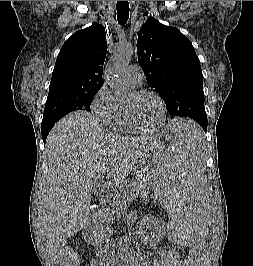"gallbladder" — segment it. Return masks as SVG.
Returning <instances> with one entry per match:
<instances>
[{"label": "gallbladder", "mask_w": 253, "mask_h": 266, "mask_svg": "<svg viewBox=\"0 0 253 266\" xmlns=\"http://www.w3.org/2000/svg\"><path fill=\"white\" fill-rule=\"evenodd\" d=\"M98 184L96 183V184H94V187H93V192H96V190L98 189ZM91 225L90 224H88L85 228H84V230L86 231L89 227H90Z\"/></svg>", "instance_id": "bac80fb5"}]
</instances>
